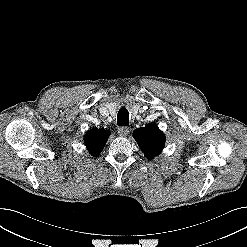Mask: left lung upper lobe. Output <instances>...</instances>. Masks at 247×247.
Returning <instances> with one entry per match:
<instances>
[{
	"label": "left lung upper lobe",
	"instance_id": "5c2ea615",
	"mask_svg": "<svg viewBox=\"0 0 247 247\" xmlns=\"http://www.w3.org/2000/svg\"><path fill=\"white\" fill-rule=\"evenodd\" d=\"M133 137L149 159L160 154L165 145V136L155 124H147L145 127L136 129Z\"/></svg>",
	"mask_w": 247,
	"mask_h": 247
}]
</instances>
